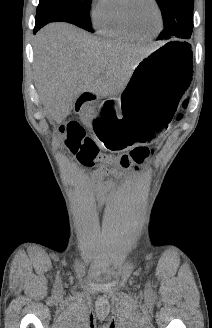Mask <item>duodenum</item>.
<instances>
[{
  "label": "duodenum",
  "mask_w": 212,
  "mask_h": 328,
  "mask_svg": "<svg viewBox=\"0 0 212 328\" xmlns=\"http://www.w3.org/2000/svg\"><path fill=\"white\" fill-rule=\"evenodd\" d=\"M93 101V98L90 95L81 96L78 98L76 104L80 109L84 108L86 105L90 104Z\"/></svg>",
  "instance_id": "obj_1"
}]
</instances>
